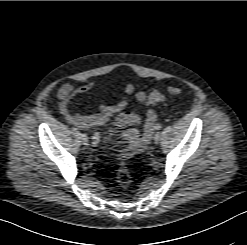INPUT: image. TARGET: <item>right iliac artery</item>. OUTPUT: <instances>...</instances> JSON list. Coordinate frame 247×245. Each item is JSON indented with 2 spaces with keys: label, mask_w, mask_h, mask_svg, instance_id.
I'll return each instance as SVG.
<instances>
[{
  "label": "right iliac artery",
  "mask_w": 247,
  "mask_h": 245,
  "mask_svg": "<svg viewBox=\"0 0 247 245\" xmlns=\"http://www.w3.org/2000/svg\"><path fill=\"white\" fill-rule=\"evenodd\" d=\"M99 140H100L99 132L95 131L94 134H93V137H92V142H91L92 145L93 146L98 145Z\"/></svg>",
  "instance_id": "right-iliac-artery-1"
}]
</instances>
